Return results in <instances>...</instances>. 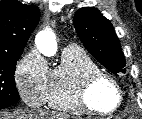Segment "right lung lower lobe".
Here are the masks:
<instances>
[{
	"label": "right lung lower lobe",
	"mask_w": 142,
	"mask_h": 119,
	"mask_svg": "<svg viewBox=\"0 0 142 119\" xmlns=\"http://www.w3.org/2000/svg\"><path fill=\"white\" fill-rule=\"evenodd\" d=\"M5 107H1L0 109H4Z\"/></svg>",
	"instance_id": "obj_1"
}]
</instances>
